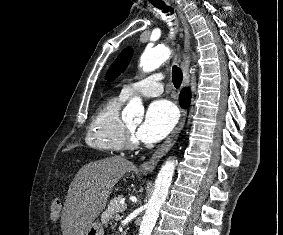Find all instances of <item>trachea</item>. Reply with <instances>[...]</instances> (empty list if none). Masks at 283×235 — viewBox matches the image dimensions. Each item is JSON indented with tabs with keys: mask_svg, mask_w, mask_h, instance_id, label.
<instances>
[{
	"mask_svg": "<svg viewBox=\"0 0 283 235\" xmlns=\"http://www.w3.org/2000/svg\"><path fill=\"white\" fill-rule=\"evenodd\" d=\"M155 7L159 8V9H163V12L168 13L171 12V14L173 13V9L169 6H166L164 3H157L154 4ZM182 78H183V74L182 71L180 70L179 67L177 66H173L172 68V80H173V84L176 88H179L182 82Z\"/></svg>",
	"mask_w": 283,
	"mask_h": 235,
	"instance_id": "obj_1",
	"label": "trachea"
}]
</instances>
